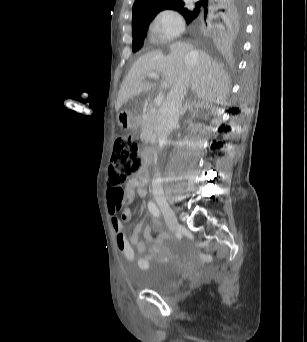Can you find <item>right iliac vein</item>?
Wrapping results in <instances>:
<instances>
[{"label":"right iliac vein","mask_w":307,"mask_h":342,"mask_svg":"<svg viewBox=\"0 0 307 342\" xmlns=\"http://www.w3.org/2000/svg\"><path fill=\"white\" fill-rule=\"evenodd\" d=\"M156 201H157V204L159 205V207L162 211V214H163V216L167 222L169 231L172 234H174L176 232V230L178 228H180V224L177 220V217H176L174 211L172 210L171 206L169 205V203L167 202V200L164 197L159 196V197H157Z\"/></svg>","instance_id":"63e3f726"}]
</instances>
